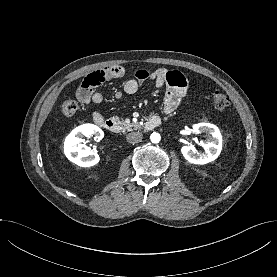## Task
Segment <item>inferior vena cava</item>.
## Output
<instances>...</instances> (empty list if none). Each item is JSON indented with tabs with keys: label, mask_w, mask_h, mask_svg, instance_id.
Returning a JSON list of instances; mask_svg holds the SVG:
<instances>
[{
	"label": "inferior vena cava",
	"mask_w": 277,
	"mask_h": 277,
	"mask_svg": "<svg viewBox=\"0 0 277 277\" xmlns=\"http://www.w3.org/2000/svg\"><path fill=\"white\" fill-rule=\"evenodd\" d=\"M142 138H143V135L140 132H132L126 136L127 142L131 144L140 142Z\"/></svg>",
	"instance_id": "inferior-vena-cava-1"
}]
</instances>
